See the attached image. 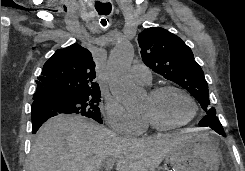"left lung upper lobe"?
Listing matches in <instances>:
<instances>
[{
	"label": "left lung upper lobe",
	"instance_id": "obj_1",
	"mask_svg": "<svg viewBox=\"0 0 245 171\" xmlns=\"http://www.w3.org/2000/svg\"><path fill=\"white\" fill-rule=\"evenodd\" d=\"M138 42L142 59L150 69L186 89L206 115L216 116L202 68L181 38L164 28L152 27L138 35Z\"/></svg>",
	"mask_w": 245,
	"mask_h": 171
}]
</instances>
